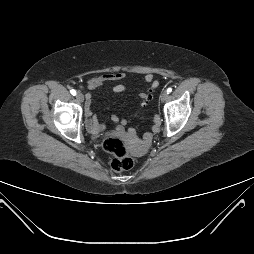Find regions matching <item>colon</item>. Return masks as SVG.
<instances>
[{
	"label": "colon",
	"mask_w": 254,
	"mask_h": 254,
	"mask_svg": "<svg viewBox=\"0 0 254 254\" xmlns=\"http://www.w3.org/2000/svg\"><path fill=\"white\" fill-rule=\"evenodd\" d=\"M104 149L113 155L111 168L116 172L130 170L134 165V158L128 152L124 142L115 136L108 137L103 143Z\"/></svg>",
	"instance_id": "5ec220e1"
}]
</instances>
